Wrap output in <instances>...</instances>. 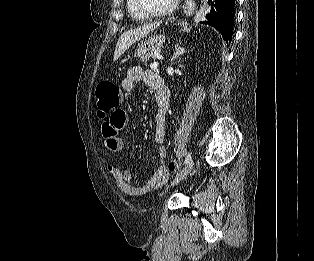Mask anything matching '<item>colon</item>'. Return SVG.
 <instances>
[{
    "label": "colon",
    "instance_id": "colon-1",
    "mask_svg": "<svg viewBox=\"0 0 314 261\" xmlns=\"http://www.w3.org/2000/svg\"><path fill=\"white\" fill-rule=\"evenodd\" d=\"M96 99L98 114L102 117H109L113 109H118L122 101V92L120 88L113 82L105 80L101 81L96 87ZM170 172H177L179 164L176 161H170L167 165Z\"/></svg>",
    "mask_w": 314,
    "mask_h": 261
}]
</instances>
